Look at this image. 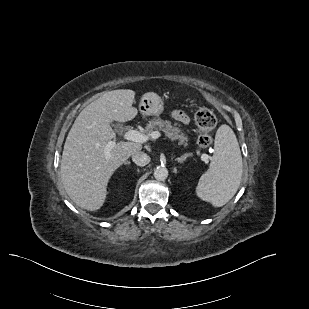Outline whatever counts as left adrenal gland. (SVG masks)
Returning <instances> with one entry per match:
<instances>
[{
  "mask_svg": "<svg viewBox=\"0 0 309 309\" xmlns=\"http://www.w3.org/2000/svg\"><path fill=\"white\" fill-rule=\"evenodd\" d=\"M190 156H192L191 153H186V154L182 155L181 157L177 158L176 161L179 162V163H183L186 160V158H188Z\"/></svg>",
  "mask_w": 309,
  "mask_h": 309,
  "instance_id": "a2214340",
  "label": "left adrenal gland"
}]
</instances>
